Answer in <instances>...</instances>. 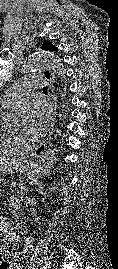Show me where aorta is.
<instances>
[{"label": "aorta", "mask_w": 118, "mask_h": 269, "mask_svg": "<svg viewBox=\"0 0 118 269\" xmlns=\"http://www.w3.org/2000/svg\"><path fill=\"white\" fill-rule=\"evenodd\" d=\"M45 67L52 68L58 75L65 78V69L63 68L60 59L51 52L40 51L28 56L23 64V72L25 74H31ZM64 91H66V88H64ZM65 95L66 93H64L63 96ZM20 123L21 114L19 111H9L2 114L1 125L4 129H16ZM55 161V150H48L31 165L28 177L30 179L41 178L51 170Z\"/></svg>", "instance_id": "762f6f07"}]
</instances>
